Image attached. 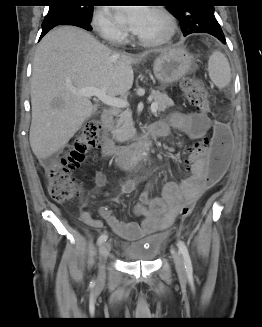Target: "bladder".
Returning <instances> with one entry per match:
<instances>
[{"mask_svg": "<svg viewBox=\"0 0 262 327\" xmlns=\"http://www.w3.org/2000/svg\"><path fill=\"white\" fill-rule=\"evenodd\" d=\"M167 234L156 233L123 245L121 255L126 262H154L159 256Z\"/></svg>", "mask_w": 262, "mask_h": 327, "instance_id": "bladder-1", "label": "bladder"}]
</instances>
